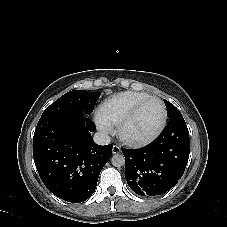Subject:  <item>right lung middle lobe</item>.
<instances>
[{
    "instance_id": "dd1d6c3e",
    "label": "right lung middle lobe",
    "mask_w": 227,
    "mask_h": 227,
    "mask_svg": "<svg viewBox=\"0 0 227 227\" xmlns=\"http://www.w3.org/2000/svg\"><path fill=\"white\" fill-rule=\"evenodd\" d=\"M99 97L97 92L70 91L47 107L41 118L90 115Z\"/></svg>"
}]
</instances>
